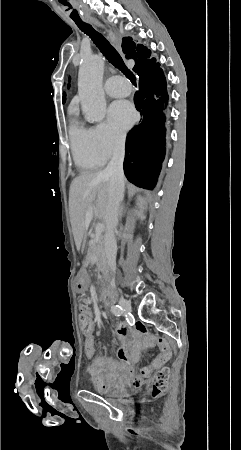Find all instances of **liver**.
<instances>
[{"mask_svg": "<svg viewBox=\"0 0 241 450\" xmlns=\"http://www.w3.org/2000/svg\"><path fill=\"white\" fill-rule=\"evenodd\" d=\"M109 176L101 172H81L70 186L69 208L72 232L79 252L93 214L110 222L109 214ZM142 212L147 210L146 198H139Z\"/></svg>", "mask_w": 241, "mask_h": 450, "instance_id": "obj_1", "label": "liver"}]
</instances>
